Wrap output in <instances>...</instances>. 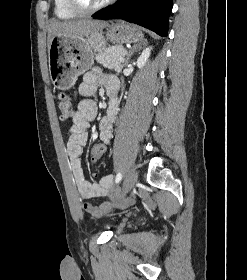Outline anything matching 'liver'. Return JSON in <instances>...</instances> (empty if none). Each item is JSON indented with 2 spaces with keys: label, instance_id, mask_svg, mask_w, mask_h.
Listing matches in <instances>:
<instances>
[{
  "label": "liver",
  "instance_id": "1",
  "mask_svg": "<svg viewBox=\"0 0 247 280\" xmlns=\"http://www.w3.org/2000/svg\"><path fill=\"white\" fill-rule=\"evenodd\" d=\"M107 22L100 20L81 19L74 21H53L48 26V50L53 37H86L100 31L107 26Z\"/></svg>",
  "mask_w": 247,
  "mask_h": 280
}]
</instances>
